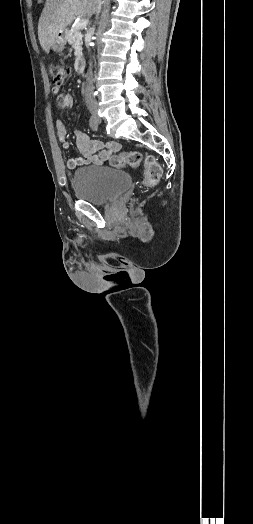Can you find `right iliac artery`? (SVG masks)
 I'll return each instance as SVG.
<instances>
[{
  "label": "right iliac artery",
  "mask_w": 253,
  "mask_h": 524,
  "mask_svg": "<svg viewBox=\"0 0 253 524\" xmlns=\"http://www.w3.org/2000/svg\"><path fill=\"white\" fill-rule=\"evenodd\" d=\"M89 125L93 131L98 130V122L94 116H90Z\"/></svg>",
  "instance_id": "1"
}]
</instances>
